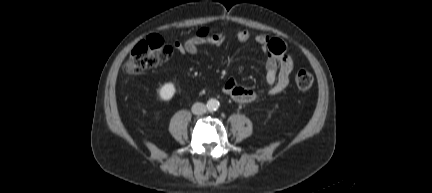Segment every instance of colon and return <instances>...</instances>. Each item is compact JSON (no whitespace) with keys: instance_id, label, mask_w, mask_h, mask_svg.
<instances>
[{"instance_id":"obj_1","label":"colon","mask_w":432,"mask_h":193,"mask_svg":"<svg viewBox=\"0 0 432 193\" xmlns=\"http://www.w3.org/2000/svg\"><path fill=\"white\" fill-rule=\"evenodd\" d=\"M171 55V46L160 36L152 35L133 48L123 65V71L128 75H137L168 61ZM295 83L299 89L308 90L313 85V76L306 70H299L295 75Z\"/></svg>"}]
</instances>
